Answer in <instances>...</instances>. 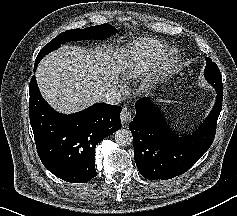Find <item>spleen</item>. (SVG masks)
<instances>
[{
  "instance_id": "3e777b00",
  "label": "spleen",
  "mask_w": 237,
  "mask_h": 216,
  "mask_svg": "<svg viewBox=\"0 0 237 216\" xmlns=\"http://www.w3.org/2000/svg\"><path fill=\"white\" fill-rule=\"evenodd\" d=\"M178 124H179V122H178V119L175 121V124H174V126L176 125V127L178 126ZM173 125V124H172ZM175 128V127H174ZM183 128H184V126H183ZM178 130H179V128H178Z\"/></svg>"
}]
</instances>
